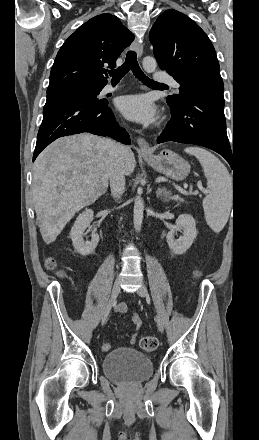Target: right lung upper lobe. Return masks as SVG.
I'll use <instances>...</instances> for the list:
<instances>
[{
    "label": "right lung upper lobe",
    "instance_id": "obj_1",
    "mask_svg": "<svg viewBox=\"0 0 259 440\" xmlns=\"http://www.w3.org/2000/svg\"><path fill=\"white\" fill-rule=\"evenodd\" d=\"M133 34L111 14L93 17L64 42L50 73L47 94L76 87L103 88L105 67L114 68Z\"/></svg>",
    "mask_w": 259,
    "mask_h": 440
}]
</instances>
